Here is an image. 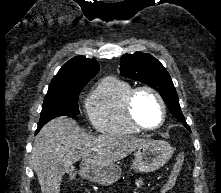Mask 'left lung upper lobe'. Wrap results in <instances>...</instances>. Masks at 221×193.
I'll use <instances>...</instances> for the list:
<instances>
[{
    "mask_svg": "<svg viewBox=\"0 0 221 193\" xmlns=\"http://www.w3.org/2000/svg\"><path fill=\"white\" fill-rule=\"evenodd\" d=\"M122 76L143 82L157 90L173 116L185 120L172 79L163 65L148 53L124 54L120 59ZM184 125L188 127L187 123Z\"/></svg>",
    "mask_w": 221,
    "mask_h": 193,
    "instance_id": "1",
    "label": "left lung upper lobe"
}]
</instances>
